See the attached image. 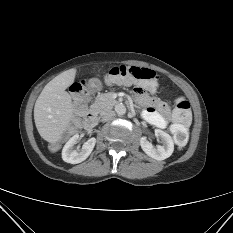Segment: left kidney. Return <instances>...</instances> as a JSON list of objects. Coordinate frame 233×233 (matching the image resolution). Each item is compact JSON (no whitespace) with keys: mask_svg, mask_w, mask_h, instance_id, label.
I'll use <instances>...</instances> for the list:
<instances>
[{"mask_svg":"<svg viewBox=\"0 0 233 233\" xmlns=\"http://www.w3.org/2000/svg\"><path fill=\"white\" fill-rule=\"evenodd\" d=\"M156 137H160L162 145L153 146L146 137L140 139L142 150L151 158L156 160H164L170 157L174 151V143L169 134L166 132L155 129Z\"/></svg>","mask_w":233,"mask_h":233,"instance_id":"1","label":"left kidney"}]
</instances>
